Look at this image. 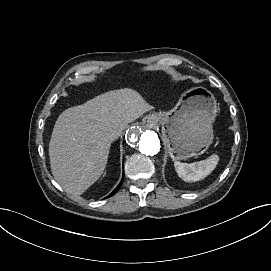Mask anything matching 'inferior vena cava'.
I'll return each instance as SVG.
<instances>
[{
	"label": "inferior vena cava",
	"mask_w": 271,
	"mask_h": 271,
	"mask_svg": "<svg viewBox=\"0 0 271 271\" xmlns=\"http://www.w3.org/2000/svg\"><path fill=\"white\" fill-rule=\"evenodd\" d=\"M121 135V132H117L116 134H113L111 137L114 139H117Z\"/></svg>",
	"instance_id": "inferior-vena-cava-1"
}]
</instances>
